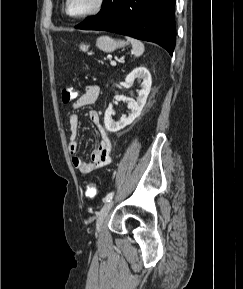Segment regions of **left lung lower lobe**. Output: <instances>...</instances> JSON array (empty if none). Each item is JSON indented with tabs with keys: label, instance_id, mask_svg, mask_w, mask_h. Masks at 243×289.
<instances>
[{
	"label": "left lung lower lobe",
	"instance_id": "0a47b994",
	"mask_svg": "<svg viewBox=\"0 0 243 289\" xmlns=\"http://www.w3.org/2000/svg\"><path fill=\"white\" fill-rule=\"evenodd\" d=\"M175 0H104L100 12L75 28L105 30L150 41L173 54Z\"/></svg>",
	"mask_w": 243,
	"mask_h": 289
}]
</instances>
